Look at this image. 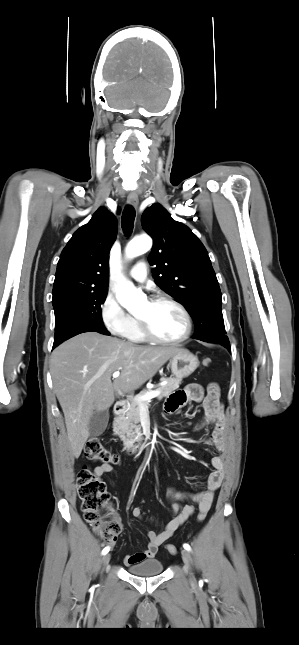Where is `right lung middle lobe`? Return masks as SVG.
<instances>
[{"instance_id":"right-lung-middle-lobe-1","label":"right lung middle lobe","mask_w":299,"mask_h":645,"mask_svg":"<svg viewBox=\"0 0 299 645\" xmlns=\"http://www.w3.org/2000/svg\"><path fill=\"white\" fill-rule=\"evenodd\" d=\"M107 291L67 292L56 297L52 301L55 311L54 343L85 328L106 331L101 317V304L106 299Z\"/></svg>"}]
</instances>
